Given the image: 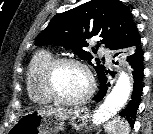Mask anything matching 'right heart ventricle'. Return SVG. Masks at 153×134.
I'll return each mask as SVG.
<instances>
[{
    "label": "right heart ventricle",
    "instance_id": "obj_1",
    "mask_svg": "<svg viewBox=\"0 0 153 134\" xmlns=\"http://www.w3.org/2000/svg\"><path fill=\"white\" fill-rule=\"evenodd\" d=\"M53 59L51 52L38 51L29 61L26 71V89L30 100L39 105L49 104L52 100L42 88L41 76L44 67Z\"/></svg>",
    "mask_w": 153,
    "mask_h": 134
}]
</instances>
